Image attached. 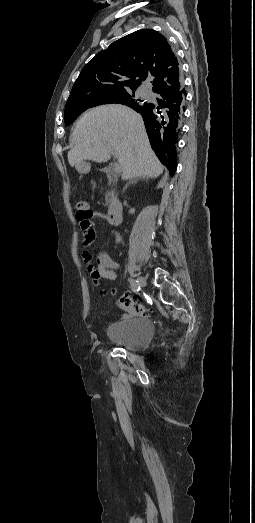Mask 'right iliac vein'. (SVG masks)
I'll return each mask as SVG.
<instances>
[{"label":"right iliac vein","mask_w":255,"mask_h":523,"mask_svg":"<svg viewBox=\"0 0 255 523\" xmlns=\"http://www.w3.org/2000/svg\"><path fill=\"white\" fill-rule=\"evenodd\" d=\"M138 282H139V285L142 286V287H145L146 286V280L145 278L143 277H139L138 278Z\"/></svg>","instance_id":"1"}]
</instances>
